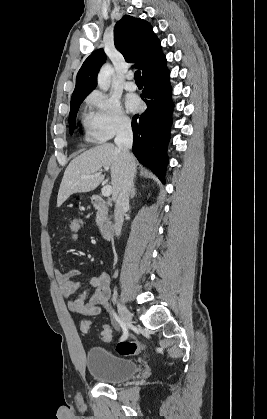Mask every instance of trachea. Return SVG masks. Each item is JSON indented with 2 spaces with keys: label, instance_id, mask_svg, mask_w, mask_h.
<instances>
[{
  "label": "trachea",
  "instance_id": "obj_1",
  "mask_svg": "<svg viewBox=\"0 0 267 419\" xmlns=\"http://www.w3.org/2000/svg\"><path fill=\"white\" fill-rule=\"evenodd\" d=\"M134 75H135V80L136 81H141L142 80L141 72L139 70H137Z\"/></svg>",
  "mask_w": 267,
  "mask_h": 419
}]
</instances>
